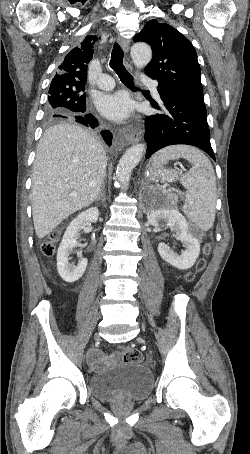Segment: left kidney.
<instances>
[{
    "label": "left kidney",
    "instance_id": "1",
    "mask_svg": "<svg viewBox=\"0 0 250 454\" xmlns=\"http://www.w3.org/2000/svg\"><path fill=\"white\" fill-rule=\"evenodd\" d=\"M150 224H159L164 222L176 233V239L183 243L186 248L180 255L175 253L168 245L161 242L158 244L160 256L172 266L178 269L191 268L200 253V241L193 233L185 217L176 209L159 208L153 210L147 216Z\"/></svg>",
    "mask_w": 250,
    "mask_h": 454
}]
</instances>
